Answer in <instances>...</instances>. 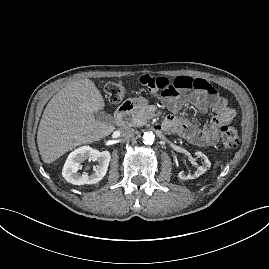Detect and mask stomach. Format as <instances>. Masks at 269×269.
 <instances>
[{
    "instance_id": "stomach-1",
    "label": "stomach",
    "mask_w": 269,
    "mask_h": 269,
    "mask_svg": "<svg viewBox=\"0 0 269 269\" xmlns=\"http://www.w3.org/2000/svg\"><path fill=\"white\" fill-rule=\"evenodd\" d=\"M132 103L135 106H141V105H144L146 103V100H143V99H132Z\"/></svg>"
}]
</instances>
